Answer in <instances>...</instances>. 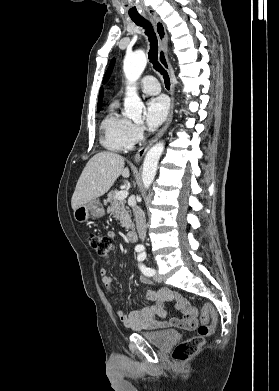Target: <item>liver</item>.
Here are the masks:
<instances>
[{"label": "liver", "instance_id": "1", "mask_svg": "<svg viewBox=\"0 0 279 391\" xmlns=\"http://www.w3.org/2000/svg\"><path fill=\"white\" fill-rule=\"evenodd\" d=\"M124 165V158L116 153L104 151L94 155L76 184L71 199L73 210L104 195L120 175L128 178L130 172Z\"/></svg>", "mask_w": 279, "mask_h": 391}]
</instances>
